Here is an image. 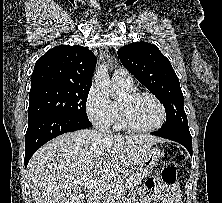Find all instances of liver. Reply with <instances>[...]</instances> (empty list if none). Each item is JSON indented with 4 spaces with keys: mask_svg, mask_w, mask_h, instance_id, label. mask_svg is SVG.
Masks as SVG:
<instances>
[{
    "mask_svg": "<svg viewBox=\"0 0 222 203\" xmlns=\"http://www.w3.org/2000/svg\"><path fill=\"white\" fill-rule=\"evenodd\" d=\"M160 139L108 135L85 129L62 134L30 159L27 178L34 203H84L83 179L112 182L126 175Z\"/></svg>",
    "mask_w": 222,
    "mask_h": 203,
    "instance_id": "obj_1",
    "label": "liver"
}]
</instances>
